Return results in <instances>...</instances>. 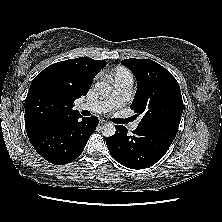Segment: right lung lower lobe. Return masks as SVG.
I'll use <instances>...</instances> for the list:
<instances>
[{"label":"right lung lower lobe","mask_w":222,"mask_h":222,"mask_svg":"<svg viewBox=\"0 0 222 222\" xmlns=\"http://www.w3.org/2000/svg\"><path fill=\"white\" fill-rule=\"evenodd\" d=\"M98 122V118L94 116L70 117L34 131L28 134V138L45 160L63 165L73 161L83 152Z\"/></svg>","instance_id":"right-lung-lower-lobe-1"}]
</instances>
